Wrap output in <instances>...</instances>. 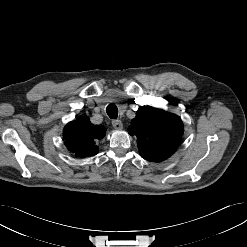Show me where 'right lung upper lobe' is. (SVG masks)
Instances as JSON below:
<instances>
[{
    "mask_svg": "<svg viewBox=\"0 0 247 247\" xmlns=\"http://www.w3.org/2000/svg\"><path fill=\"white\" fill-rule=\"evenodd\" d=\"M102 125H93L88 118L79 117L68 123L63 131L67 148L77 157L94 156L98 153L96 141L105 136Z\"/></svg>",
    "mask_w": 247,
    "mask_h": 247,
    "instance_id": "right-lung-upper-lobe-1",
    "label": "right lung upper lobe"
}]
</instances>
